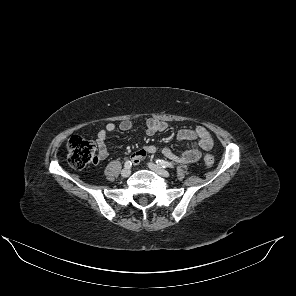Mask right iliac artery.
Instances as JSON below:
<instances>
[{
	"mask_svg": "<svg viewBox=\"0 0 296 296\" xmlns=\"http://www.w3.org/2000/svg\"><path fill=\"white\" fill-rule=\"evenodd\" d=\"M131 165H132V163H131V161H129V160H127V161L125 162V164H124V166H125L126 168H130Z\"/></svg>",
	"mask_w": 296,
	"mask_h": 296,
	"instance_id": "right-iliac-artery-1",
	"label": "right iliac artery"
}]
</instances>
